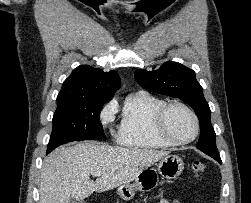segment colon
<instances>
[{
	"instance_id": "obj_1",
	"label": "colon",
	"mask_w": 251,
	"mask_h": 203,
	"mask_svg": "<svg viewBox=\"0 0 251 203\" xmlns=\"http://www.w3.org/2000/svg\"><path fill=\"white\" fill-rule=\"evenodd\" d=\"M206 165L201 160H195L192 162V170L196 176H200L205 172Z\"/></svg>"
}]
</instances>
